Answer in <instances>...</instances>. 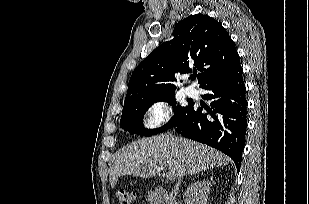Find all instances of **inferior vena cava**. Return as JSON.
Segmentation results:
<instances>
[{
	"mask_svg": "<svg viewBox=\"0 0 309 204\" xmlns=\"http://www.w3.org/2000/svg\"><path fill=\"white\" fill-rule=\"evenodd\" d=\"M183 174L179 175L178 177V182L176 183L175 187H174V190H172V193H171V196H170V204H173L172 202L175 200L176 198V195L178 193V189H179V186L181 184V178H183Z\"/></svg>",
	"mask_w": 309,
	"mask_h": 204,
	"instance_id": "obj_1",
	"label": "inferior vena cava"
}]
</instances>
